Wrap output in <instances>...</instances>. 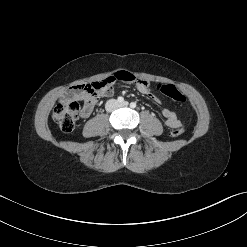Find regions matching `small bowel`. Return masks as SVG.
Wrapping results in <instances>:
<instances>
[{
	"mask_svg": "<svg viewBox=\"0 0 247 247\" xmlns=\"http://www.w3.org/2000/svg\"><path fill=\"white\" fill-rule=\"evenodd\" d=\"M114 79H119L125 82H133L138 89V91L144 95L152 97L154 100L158 101L157 98L153 97L150 90V85L147 81L135 79V77L126 71H119L115 74ZM114 93V87L101 93V95H112ZM75 98L84 101V105L81 110V116L87 118L91 115L94 109V103H89L85 101L84 95L82 93H75ZM165 118V124L170 128H178L180 126V121L174 111L165 108L162 111Z\"/></svg>",
	"mask_w": 247,
	"mask_h": 247,
	"instance_id": "small-bowel-1",
	"label": "small bowel"
}]
</instances>
